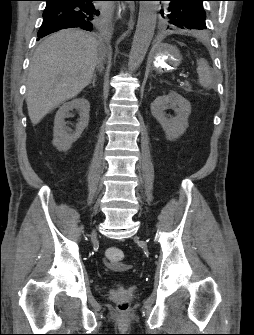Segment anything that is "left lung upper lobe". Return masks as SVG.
Instances as JSON below:
<instances>
[{
  "label": "left lung upper lobe",
  "mask_w": 254,
  "mask_h": 335,
  "mask_svg": "<svg viewBox=\"0 0 254 335\" xmlns=\"http://www.w3.org/2000/svg\"><path fill=\"white\" fill-rule=\"evenodd\" d=\"M168 6L161 10V15L168 20V29H206V13L203 9L204 0H166Z\"/></svg>",
  "instance_id": "obj_1"
}]
</instances>
